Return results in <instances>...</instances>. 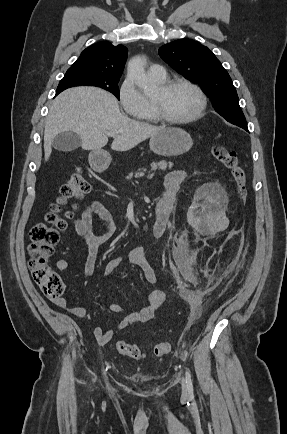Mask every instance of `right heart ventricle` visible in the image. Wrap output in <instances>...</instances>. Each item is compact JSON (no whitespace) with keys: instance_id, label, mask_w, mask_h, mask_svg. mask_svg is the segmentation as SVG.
<instances>
[{"instance_id":"right-heart-ventricle-1","label":"right heart ventricle","mask_w":287,"mask_h":434,"mask_svg":"<svg viewBox=\"0 0 287 434\" xmlns=\"http://www.w3.org/2000/svg\"><path fill=\"white\" fill-rule=\"evenodd\" d=\"M166 80H156L157 82H164ZM137 119L143 122H158L159 118L157 117L153 103L150 99H147V106L145 110L137 116Z\"/></svg>"}]
</instances>
